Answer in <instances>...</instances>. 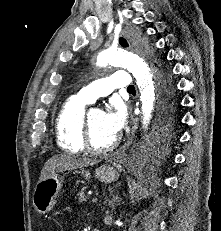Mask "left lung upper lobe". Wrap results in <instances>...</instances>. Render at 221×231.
Segmentation results:
<instances>
[{
	"label": "left lung upper lobe",
	"mask_w": 221,
	"mask_h": 231,
	"mask_svg": "<svg viewBox=\"0 0 221 231\" xmlns=\"http://www.w3.org/2000/svg\"><path fill=\"white\" fill-rule=\"evenodd\" d=\"M120 44H121L122 46H124V47H127V46H128V43H127L126 40H124L123 38L120 39ZM163 118H165V117H163ZM161 120H162V118H161Z\"/></svg>",
	"instance_id": "obj_1"
}]
</instances>
